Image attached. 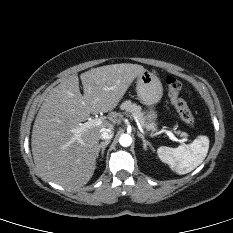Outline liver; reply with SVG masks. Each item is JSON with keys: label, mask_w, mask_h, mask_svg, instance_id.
Listing matches in <instances>:
<instances>
[{"label": "liver", "mask_w": 233, "mask_h": 233, "mask_svg": "<svg viewBox=\"0 0 233 233\" xmlns=\"http://www.w3.org/2000/svg\"><path fill=\"white\" fill-rule=\"evenodd\" d=\"M145 71L138 64H112L90 69L80 75L84 95L76 74L64 78L53 88L38 111L31 138L34 163L45 179L69 190L86 185L94 174L98 157L99 133L113 128L118 105L136 77ZM111 112L110 121L81 133L74 132L90 114Z\"/></svg>", "instance_id": "obj_1"}]
</instances>
